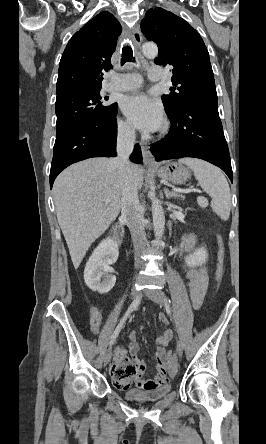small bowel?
<instances>
[{
  "mask_svg": "<svg viewBox=\"0 0 266 444\" xmlns=\"http://www.w3.org/2000/svg\"><path fill=\"white\" fill-rule=\"evenodd\" d=\"M195 248V237L193 235L185 236L181 244L182 254L191 253ZM185 274L188 278L192 304L197 308L201 304L207 289L208 278L205 269H185ZM159 320L164 325L168 322L164 314L159 315ZM90 322L92 331L95 334L99 333L102 323V313L98 307L94 306L91 309ZM137 337V332H133L130 336L131 342L129 345V353L131 357H128L123 350L116 351L115 361L111 367V377L114 386L118 389H127L135 383L139 388L153 389L167 384L166 373H175V371L170 370L166 357V347L172 339V332L169 329H164L157 340L158 345L155 353L157 358V373L151 379L143 378L145 367L143 360L137 355L139 349L136 341Z\"/></svg>",
  "mask_w": 266,
  "mask_h": 444,
  "instance_id": "1",
  "label": "small bowel"
}]
</instances>
